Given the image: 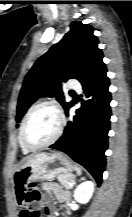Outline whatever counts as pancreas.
I'll list each match as a JSON object with an SVG mask.
<instances>
[{"instance_id":"obj_1","label":"pancreas","mask_w":132,"mask_h":217,"mask_svg":"<svg viewBox=\"0 0 132 217\" xmlns=\"http://www.w3.org/2000/svg\"><path fill=\"white\" fill-rule=\"evenodd\" d=\"M59 183L65 188V189H71L72 186L71 183H75V176L72 174H61L57 177Z\"/></svg>"}]
</instances>
